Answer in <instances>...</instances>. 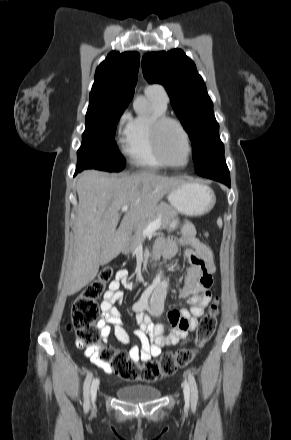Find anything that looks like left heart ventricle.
Returning a JSON list of instances; mask_svg holds the SVG:
<instances>
[{
	"instance_id": "obj_1",
	"label": "left heart ventricle",
	"mask_w": 291,
	"mask_h": 440,
	"mask_svg": "<svg viewBox=\"0 0 291 440\" xmlns=\"http://www.w3.org/2000/svg\"><path fill=\"white\" fill-rule=\"evenodd\" d=\"M161 147L166 159L175 164L186 160L187 147L182 132L173 124H167L161 134Z\"/></svg>"
}]
</instances>
